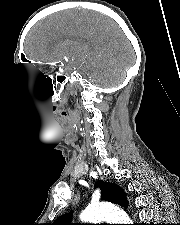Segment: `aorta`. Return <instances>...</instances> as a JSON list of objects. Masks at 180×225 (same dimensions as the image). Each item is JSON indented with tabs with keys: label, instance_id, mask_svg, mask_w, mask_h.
Masks as SVG:
<instances>
[{
	"label": "aorta",
	"instance_id": "aorta-1",
	"mask_svg": "<svg viewBox=\"0 0 180 225\" xmlns=\"http://www.w3.org/2000/svg\"><path fill=\"white\" fill-rule=\"evenodd\" d=\"M80 219L83 222H92L97 224L106 221L109 224H132L129 216L119 207L113 204L89 205L81 214Z\"/></svg>",
	"mask_w": 180,
	"mask_h": 225
}]
</instances>
